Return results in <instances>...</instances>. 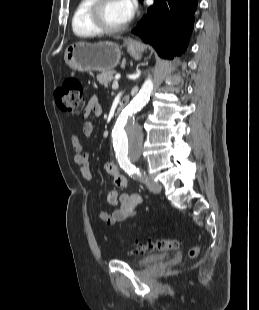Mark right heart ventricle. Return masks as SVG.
<instances>
[{
  "label": "right heart ventricle",
  "mask_w": 259,
  "mask_h": 310,
  "mask_svg": "<svg viewBox=\"0 0 259 310\" xmlns=\"http://www.w3.org/2000/svg\"><path fill=\"white\" fill-rule=\"evenodd\" d=\"M93 0H79L72 17V30L78 37L87 38L98 34L88 19Z\"/></svg>",
  "instance_id": "1"
}]
</instances>
